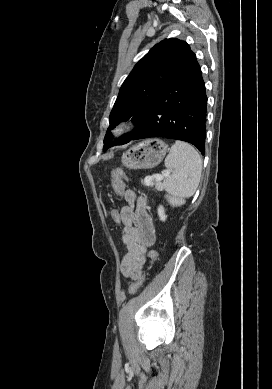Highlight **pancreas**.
<instances>
[{
  "label": "pancreas",
  "instance_id": "obj_1",
  "mask_svg": "<svg viewBox=\"0 0 272 389\" xmlns=\"http://www.w3.org/2000/svg\"><path fill=\"white\" fill-rule=\"evenodd\" d=\"M144 184L147 185V184L145 183V180H144ZM152 185H153V183H152V181H151V184H149L148 186H152Z\"/></svg>",
  "mask_w": 272,
  "mask_h": 389
}]
</instances>
